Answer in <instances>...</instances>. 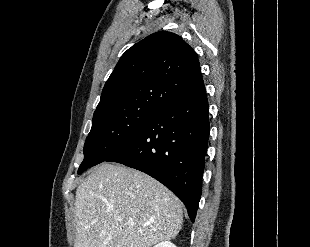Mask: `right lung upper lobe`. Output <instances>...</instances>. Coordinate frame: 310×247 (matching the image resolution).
Segmentation results:
<instances>
[{
	"label": "right lung upper lobe",
	"mask_w": 310,
	"mask_h": 247,
	"mask_svg": "<svg viewBox=\"0 0 310 247\" xmlns=\"http://www.w3.org/2000/svg\"><path fill=\"white\" fill-rule=\"evenodd\" d=\"M203 86L196 52L180 36L159 31L121 56L93 117L138 106L161 109Z\"/></svg>",
	"instance_id": "1"
}]
</instances>
